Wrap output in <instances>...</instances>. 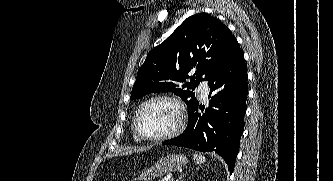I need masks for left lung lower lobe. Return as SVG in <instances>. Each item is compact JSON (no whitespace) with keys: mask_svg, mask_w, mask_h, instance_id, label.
I'll return each mask as SVG.
<instances>
[{"mask_svg":"<svg viewBox=\"0 0 333 181\" xmlns=\"http://www.w3.org/2000/svg\"><path fill=\"white\" fill-rule=\"evenodd\" d=\"M209 108L200 115L198 104L189 111L188 126L178 137L163 145L188 147L198 151H214L233 171L244 129L248 94L247 68L240 47L215 74L208 79ZM213 91L217 93L211 97Z\"/></svg>","mask_w":333,"mask_h":181,"instance_id":"1","label":"left lung lower lobe"}]
</instances>
